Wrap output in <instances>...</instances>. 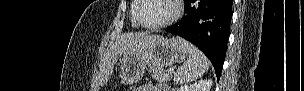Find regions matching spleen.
<instances>
[{"label": "spleen", "instance_id": "spleen-1", "mask_svg": "<svg viewBox=\"0 0 304 91\" xmlns=\"http://www.w3.org/2000/svg\"><path fill=\"white\" fill-rule=\"evenodd\" d=\"M179 40L188 51L189 58L175 72L174 82L186 84L201 78L209 68V61L196 46L183 39L179 38Z\"/></svg>", "mask_w": 304, "mask_h": 91}]
</instances>
